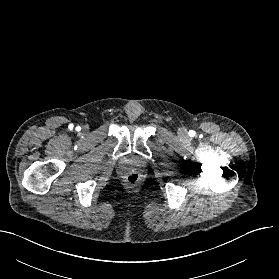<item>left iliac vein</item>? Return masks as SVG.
Listing matches in <instances>:
<instances>
[{
    "label": "left iliac vein",
    "mask_w": 279,
    "mask_h": 279,
    "mask_svg": "<svg viewBox=\"0 0 279 279\" xmlns=\"http://www.w3.org/2000/svg\"><path fill=\"white\" fill-rule=\"evenodd\" d=\"M185 132L184 131H181V134H184Z\"/></svg>",
    "instance_id": "left-iliac-vein-1"
}]
</instances>
